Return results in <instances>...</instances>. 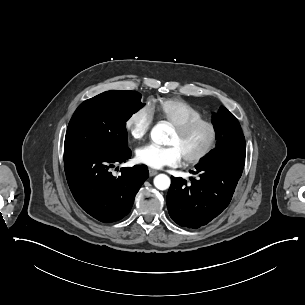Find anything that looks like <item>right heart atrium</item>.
Segmentation results:
<instances>
[{"instance_id": "obj_1", "label": "right heart atrium", "mask_w": 305, "mask_h": 305, "mask_svg": "<svg viewBox=\"0 0 305 305\" xmlns=\"http://www.w3.org/2000/svg\"><path fill=\"white\" fill-rule=\"evenodd\" d=\"M152 123L153 115L149 107L140 106L127 117L125 127L130 137L138 141L145 137Z\"/></svg>"}]
</instances>
